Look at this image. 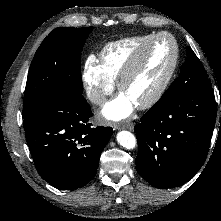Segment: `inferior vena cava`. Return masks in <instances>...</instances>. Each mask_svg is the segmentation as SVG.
I'll return each mask as SVG.
<instances>
[{"instance_id": "inferior-vena-cava-1", "label": "inferior vena cava", "mask_w": 221, "mask_h": 221, "mask_svg": "<svg viewBox=\"0 0 221 221\" xmlns=\"http://www.w3.org/2000/svg\"><path fill=\"white\" fill-rule=\"evenodd\" d=\"M88 97L94 104L103 105L105 102V96L96 92L89 93Z\"/></svg>"}]
</instances>
